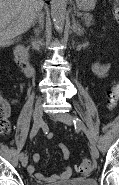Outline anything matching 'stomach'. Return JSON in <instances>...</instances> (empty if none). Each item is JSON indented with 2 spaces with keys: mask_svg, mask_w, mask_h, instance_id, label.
<instances>
[{
  "mask_svg": "<svg viewBox=\"0 0 119 185\" xmlns=\"http://www.w3.org/2000/svg\"><path fill=\"white\" fill-rule=\"evenodd\" d=\"M97 0H76V5L79 10L90 11L95 7Z\"/></svg>",
  "mask_w": 119,
  "mask_h": 185,
  "instance_id": "obj_1",
  "label": "stomach"
}]
</instances>
